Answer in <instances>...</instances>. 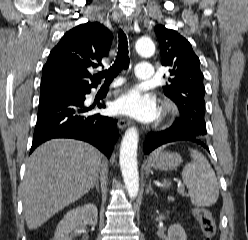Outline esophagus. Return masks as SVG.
Returning a JSON list of instances; mask_svg holds the SVG:
<instances>
[{
  "label": "esophagus",
  "instance_id": "1",
  "mask_svg": "<svg viewBox=\"0 0 248 240\" xmlns=\"http://www.w3.org/2000/svg\"><path fill=\"white\" fill-rule=\"evenodd\" d=\"M123 29L125 32H131L133 27H132V19L130 17L124 18L123 19ZM131 125V121L127 119L120 118L118 120V127L120 129H123L127 126Z\"/></svg>",
  "mask_w": 248,
  "mask_h": 240
}]
</instances>
